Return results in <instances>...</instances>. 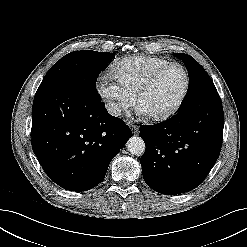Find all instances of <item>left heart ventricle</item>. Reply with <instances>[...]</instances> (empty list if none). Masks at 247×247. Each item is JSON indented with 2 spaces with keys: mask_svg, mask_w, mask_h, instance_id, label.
I'll return each instance as SVG.
<instances>
[{
  "mask_svg": "<svg viewBox=\"0 0 247 247\" xmlns=\"http://www.w3.org/2000/svg\"><path fill=\"white\" fill-rule=\"evenodd\" d=\"M185 85V76L178 67L164 71L143 95L140 108L146 114H157L172 107L180 97Z\"/></svg>",
  "mask_w": 247,
  "mask_h": 247,
  "instance_id": "left-heart-ventricle-1",
  "label": "left heart ventricle"
}]
</instances>
